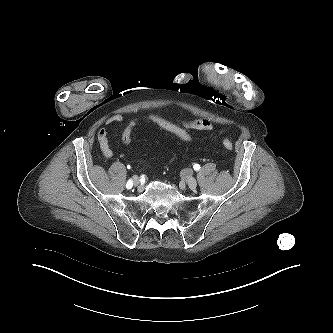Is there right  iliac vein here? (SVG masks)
Segmentation results:
<instances>
[{
	"instance_id": "63e3f726",
	"label": "right iliac vein",
	"mask_w": 333,
	"mask_h": 333,
	"mask_svg": "<svg viewBox=\"0 0 333 333\" xmlns=\"http://www.w3.org/2000/svg\"><path fill=\"white\" fill-rule=\"evenodd\" d=\"M133 184H134V186H139L140 185V180L137 176L133 177Z\"/></svg>"
}]
</instances>
